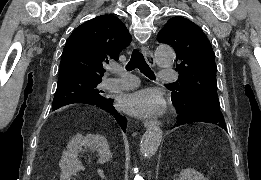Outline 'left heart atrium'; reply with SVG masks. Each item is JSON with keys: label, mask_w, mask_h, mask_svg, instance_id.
Here are the masks:
<instances>
[{"label": "left heart atrium", "mask_w": 261, "mask_h": 180, "mask_svg": "<svg viewBox=\"0 0 261 180\" xmlns=\"http://www.w3.org/2000/svg\"><path fill=\"white\" fill-rule=\"evenodd\" d=\"M122 108L135 116L147 117L160 114L165 106L161 94L154 89H144L121 96Z\"/></svg>", "instance_id": "obj_1"}]
</instances>
